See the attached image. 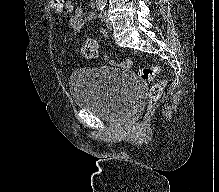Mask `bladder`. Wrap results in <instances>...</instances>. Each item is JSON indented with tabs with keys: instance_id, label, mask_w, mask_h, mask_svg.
I'll use <instances>...</instances> for the list:
<instances>
[{
	"instance_id": "1",
	"label": "bladder",
	"mask_w": 219,
	"mask_h": 192,
	"mask_svg": "<svg viewBox=\"0 0 219 192\" xmlns=\"http://www.w3.org/2000/svg\"><path fill=\"white\" fill-rule=\"evenodd\" d=\"M69 83L75 106L108 122L132 116L144 96L143 86L131 73L113 66L75 70Z\"/></svg>"
}]
</instances>
